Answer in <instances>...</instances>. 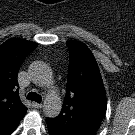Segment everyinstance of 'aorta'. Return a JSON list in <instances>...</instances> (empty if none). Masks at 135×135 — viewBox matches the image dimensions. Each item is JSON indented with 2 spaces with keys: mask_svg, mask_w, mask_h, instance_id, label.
<instances>
[{
  "mask_svg": "<svg viewBox=\"0 0 135 135\" xmlns=\"http://www.w3.org/2000/svg\"><path fill=\"white\" fill-rule=\"evenodd\" d=\"M30 75L32 80L38 85H49L51 83L52 74L48 66L42 62H34L30 67ZM61 101L56 96H47L43 111L49 118L57 117L61 111Z\"/></svg>",
  "mask_w": 135,
  "mask_h": 135,
  "instance_id": "1",
  "label": "aorta"
}]
</instances>
